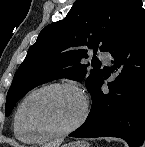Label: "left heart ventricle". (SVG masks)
I'll use <instances>...</instances> for the list:
<instances>
[{"instance_id":"b2bd125f","label":"left heart ventricle","mask_w":145,"mask_h":147,"mask_svg":"<svg viewBox=\"0 0 145 147\" xmlns=\"http://www.w3.org/2000/svg\"><path fill=\"white\" fill-rule=\"evenodd\" d=\"M81 111L82 102L74 91L51 89L28 100L23 110V120L30 130L56 131L73 124Z\"/></svg>"}]
</instances>
